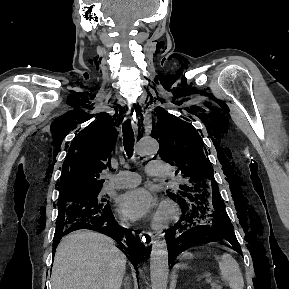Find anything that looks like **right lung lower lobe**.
<instances>
[{
    "label": "right lung lower lobe",
    "instance_id": "right-lung-lower-lobe-1",
    "mask_svg": "<svg viewBox=\"0 0 289 289\" xmlns=\"http://www.w3.org/2000/svg\"><path fill=\"white\" fill-rule=\"evenodd\" d=\"M79 229L95 230L114 239L123 247L121 250L128 256L135 267L137 266L140 257H142L143 245L140 242L138 231L131 232L129 230L125 231V229L122 230L115 220L111 208L102 215L81 218L79 221L73 223L64 233L60 235L55 234L53 252L55 253L56 246L64 235Z\"/></svg>",
    "mask_w": 289,
    "mask_h": 289
}]
</instances>
